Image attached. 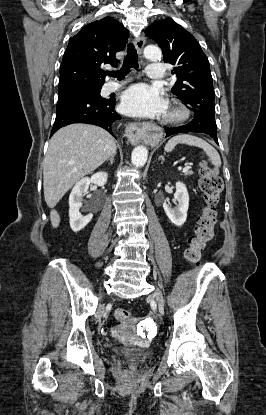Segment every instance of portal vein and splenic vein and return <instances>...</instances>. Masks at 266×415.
<instances>
[{
	"label": "portal vein and splenic vein",
	"mask_w": 266,
	"mask_h": 415,
	"mask_svg": "<svg viewBox=\"0 0 266 415\" xmlns=\"http://www.w3.org/2000/svg\"><path fill=\"white\" fill-rule=\"evenodd\" d=\"M190 169V166H185L184 168H183V170H182V172H186V171H188Z\"/></svg>",
	"instance_id": "18ae733b"
}]
</instances>
